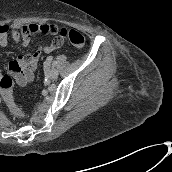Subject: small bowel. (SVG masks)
I'll return each mask as SVG.
<instances>
[{
  "label": "small bowel",
  "instance_id": "1",
  "mask_svg": "<svg viewBox=\"0 0 172 172\" xmlns=\"http://www.w3.org/2000/svg\"><path fill=\"white\" fill-rule=\"evenodd\" d=\"M43 24L40 26H44ZM50 26V25H48ZM54 26V25H51ZM24 26L21 25H0V46L4 47L8 44L9 38H11L15 43H21L23 46H27L30 43L31 37L27 40L23 39L21 30ZM35 33L42 34H52L50 32L36 31ZM33 35V34H32ZM31 35V36H32ZM62 45L61 39H55L50 45H43L40 51L27 55L25 57H18L16 60L10 62L9 67L11 70H16L18 83L24 85L26 82L30 81L33 77V71L36 68L40 52L50 53L55 49L60 48Z\"/></svg>",
  "mask_w": 172,
  "mask_h": 172
}]
</instances>
